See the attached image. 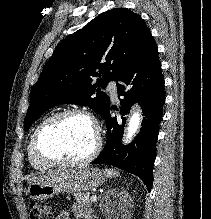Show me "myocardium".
<instances>
[{
    "mask_svg": "<svg viewBox=\"0 0 211 219\" xmlns=\"http://www.w3.org/2000/svg\"><path fill=\"white\" fill-rule=\"evenodd\" d=\"M67 116H75L87 121L95 131V144L91 152L82 159L79 160H61L47 156L40 148L41 138L45 130L55 121L60 118ZM102 145V137L100 128L91 114L80 109H65L52 114L43 120L36 128L32 140H31V151L35 158L41 163L49 167H79L89 164L99 154Z\"/></svg>",
    "mask_w": 211,
    "mask_h": 219,
    "instance_id": "f54148a6",
    "label": "myocardium"
}]
</instances>
